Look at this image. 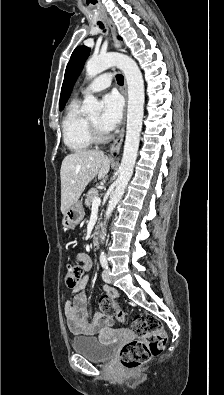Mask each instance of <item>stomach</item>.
<instances>
[{"mask_svg": "<svg viewBox=\"0 0 224 395\" xmlns=\"http://www.w3.org/2000/svg\"><path fill=\"white\" fill-rule=\"evenodd\" d=\"M85 215V209L81 201L70 206L63 214L62 225L65 229H75Z\"/></svg>", "mask_w": 224, "mask_h": 395, "instance_id": "0dacf381", "label": "stomach"}]
</instances>
